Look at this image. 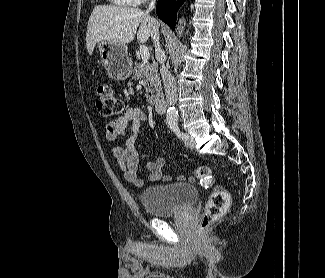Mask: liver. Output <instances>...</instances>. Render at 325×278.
<instances>
[{"instance_id":"6515ba94","label":"liver","mask_w":325,"mask_h":278,"mask_svg":"<svg viewBox=\"0 0 325 278\" xmlns=\"http://www.w3.org/2000/svg\"><path fill=\"white\" fill-rule=\"evenodd\" d=\"M156 23L157 20L150 17L148 12L136 7L98 5L93 9L88 20L87 51L91 55L95 45L103 41L117 44L130 43L136 34L139 42H146L152 36Z\"/></svg>"}]
</instances>
